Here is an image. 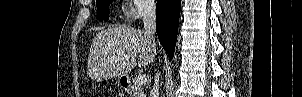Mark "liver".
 Listing matches in <instances>:
<instances>
[{
	"label": "liver",
	"mask_w": 302,
	"mask_h": 97,
	"mask_svg": "<svg viewBox=\"0 0 302 97\" xmlns=\"http://www.w3.org/2000/svg\"><path fill=\"white\" fill-rule=\"evenodd\" d=\"M155 54L156 44L144 30L128 26L104 29L90 47L88 74L99 78L127 75L137 64L146 67L152 63Z\"/></svg>",
	"instance_id": "obj_1"
}]
</instances>
